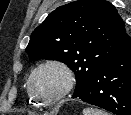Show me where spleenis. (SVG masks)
I'll return each mask as SVG.
<instances>
[{
  "mask_svg": "<svg viewBox=\"0 0 131 115\" xmlns=\"http://www.w3.org/2000/svg\"><path fill=\"white\" fill-rule=\"evenodd\" d=\"M83 115H108V114H106L102 110L87 108L83 110Z\"/></svg>",
  "mask_w": 131,
  "mask_h": 115,
  "instance_id": "obj_1",
  "label": "spleen"
}]
</instances>
